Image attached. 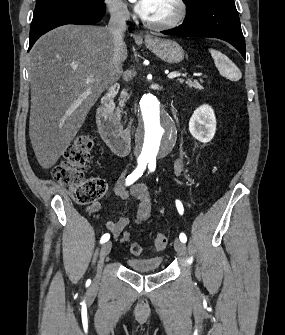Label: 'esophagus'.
Segmentation results:
<instances>
[{
	"mask_svg": "<svg viewBox=\"0 0 285 335\" xmlns=\"http://www.w3.org/2000/svg\"><path fill=\"white\" fill-rule=\"evenodd\" d=\"M145 37H146V38H149V37H150V35H149V34H146V35H145Z\"/></svg>",
	"mask_w": 285,
	"mask_h": 335,
	"instance_id": "1",
	"label": "esophagus"
}]
</instances>
